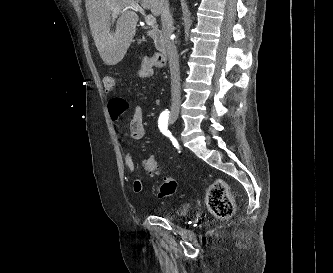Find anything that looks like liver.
Wrapping results in <instances>:
<instances>
[{
    "label": "liver",
    "instance_id": "6515ba94",
    "mask_svg": "<svg viewBox=\"0 0 333 273\" xmlns=\"http://www.w3.org/2000/svg\"><path fill=\"white\" fill-rule=\"evenodd\" d=\"M129 2L140 3L154 16H159L160 0H86L91 33L101 59L106 65H116L125 56L136 31L138 15L126 8ZM116 7H124L113 13ZM118 17L115 32H111V17Z\"/></svg>",
    "mask_w": 333,
    "mask_h": 273
}]
</instances>
